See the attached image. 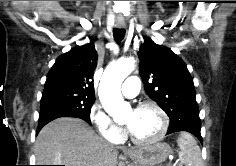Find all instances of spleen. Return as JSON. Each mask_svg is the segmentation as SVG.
Returning a JSON list of instances; mask_svg holds the SVG:
<instances>
[{
	"mask_svg": "<svg viewBox=\"0 0 236 166\" xmlns=\"http://www.w3.org/2000/svg\"><path fill=\"white\" fill-rule=\"evenodd\" d=\"M180 148L179 159L185 166H204L201 158V151L193 136L182 132L177 140Z\"/></svg>",
	"mask_w": 236,
	"mask_h": 166,
	"instance_id": "obj_1",
	"label": "spleen"
}]
</instances>
